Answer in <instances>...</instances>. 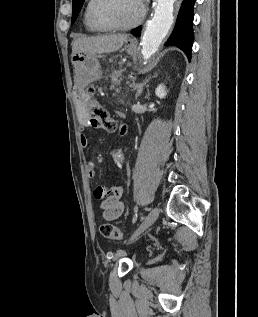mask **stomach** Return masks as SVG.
<instances>
[{"instance_id": "stomach-1", "label": "stomach", "mask_w": 258, "mask_h": 317, "mask_svg": "<svg viewBox=\"0 0 258 317\" xmlns=\"http://www.w3.org/2000/svg\"><path fill=\"white\" fill-rule=\"evenodd\" d=\"M124 48L128 54H136V40H134V38L126 40ZM71 60L73 64H75L78 74H81V72H87V74H98L99 72V62L95 54H92V52H85V50H82V52H75V54H72Z\"/></svg>"}]
</instances>
